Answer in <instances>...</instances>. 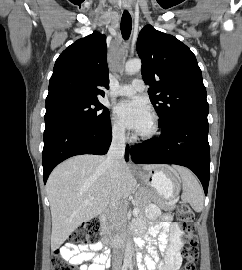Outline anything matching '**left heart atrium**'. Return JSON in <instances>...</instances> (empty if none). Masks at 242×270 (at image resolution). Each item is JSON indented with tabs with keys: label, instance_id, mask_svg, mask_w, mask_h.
<instances>
[{
	"label": "left heart atrium",
	"instance_id": "1",
	"mask_svg": "<svg viewBox=\"0 0 242 270\" xmlns=\"http://www.w3.org/2000/svg\"><path fill=\"white\" fill-rule=\"evenodd\" d=\"M115 113L124 126L136 132L142 131L151 121L150 107L141 98L121 101L115 107Z\"/></svg>",
	"mask_w": 242,
	"mask_h": 270
}]
</instances>
